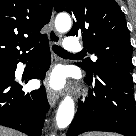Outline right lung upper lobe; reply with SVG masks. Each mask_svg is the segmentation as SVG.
<instances>
[{
  "mask_svg": "<svg viewBox=\"0 0 136 136\" xmlns=\"http://www.w3.org/2000/svg\"><path fill=\"white\" fill-rule=\"evenodd\" d=\"M51 13V0H0V64L18 61L46 41L40 30Z\"/></svg>",
  "mask_w": 136,
  "mask_h": 136,
  "instance_id": "right-lung-upper-lobe-1",
  "label": "right lung upper lobe"
}]
</instances>
